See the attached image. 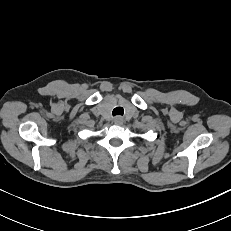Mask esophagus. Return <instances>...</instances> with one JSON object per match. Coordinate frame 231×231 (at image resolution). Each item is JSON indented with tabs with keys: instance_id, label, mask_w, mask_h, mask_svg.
<instances>
[{
	"instance_id": "1",
	"label": "esophagus",
	"mask_w": 231,
	"mask_h": 231,
	"mask_svg": "<svg viewBox=\"0 0 231 231\" xmlns=\"http://www.w3.org/2000/svg\"><path fill=\"white\" fill-rule=\"evenodd\" d=\"M123 122H124V119H123L121 116H116V117L114 118V123H115L116 125H122Z\"/></svg>"
}]
</instances>
